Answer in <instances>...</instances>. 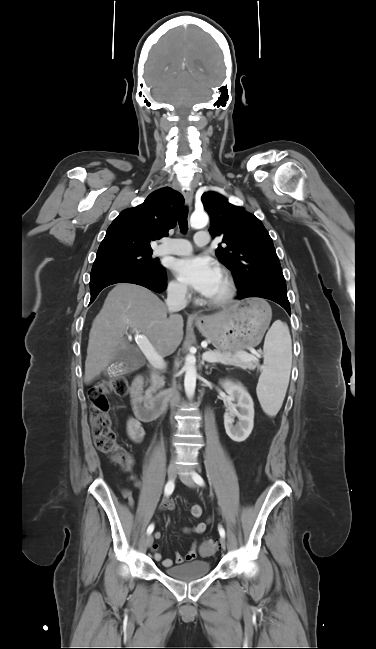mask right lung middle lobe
Returning a JSON list of instances; mask_svg holds the SVG:
<instances>
[{
    "label": "right lung middle lobe",
    "instance_id": "obj_1",
    "mask_svg": "<svg viewBox=\"0 0 376 649\" xmlns=\"http://www.w3.org/2000/svg\"><path fill=\"white\" fill-rule=\"evenodd\" d=\"M151 254L152 251H119L97 254L91 272L112 266L158 269L160 264L152 259Z\"/></svg>",
    "mask_w": 376,
    "mask_h": 649
}]
</instances>
